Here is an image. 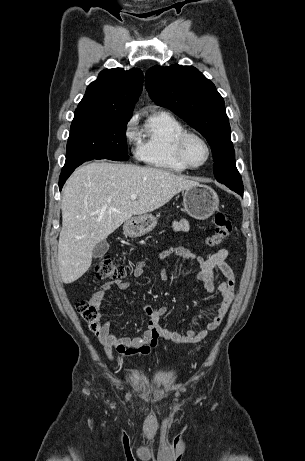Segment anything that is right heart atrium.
<instances>
[{"label": "right heart atrium", "instance_id": "obj_1", "mask_svg": "<svg viewBox=\"0 0 305 461\" xmlns=\"http://www.w3.org/2000/svg\"><path fill=\"white\" fill-rule=\"evenodd\" d=\"M133 126H134V120H131L128 124V129H127V135L131 138H133L135 135H134V132L132 131L133 129Z\"/></svg>", "mask_w": 305, "mask_h": 461}]
</instances>
